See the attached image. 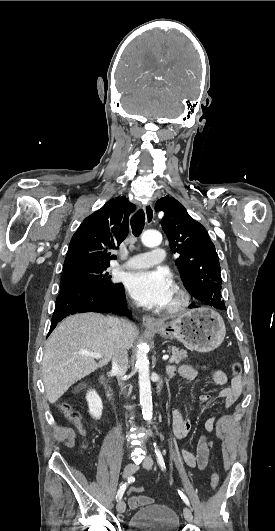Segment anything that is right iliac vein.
<instances>
[{
	"instance_id": "right-iliac-vein-1",
	"label": "right iliac vein",
	"mask_w": 275,
	"mask_h": 531,
	"mask_svg": "<svg viewBox=\"0 0 275 531\" xmlns=\"http://www.w3.org/2000/svg\"><path fill=\"white\" fill-rule=\"evenodd\" d=\"M137 470V467L134 463H128L125 468H124V472H123V478L126 479V478H129L130 476H132ZM125 509H126V505L124 503V501L122 500H119L118 503H117V511L119 514H123L125 512Z\"/></svg>"
}]
</instances>
